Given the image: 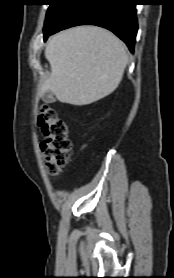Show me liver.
I'll return each mask as SVG.
<instances>
[{
  "mask_svg": "<svg viewBox=\"0 0 174 278\" xmlns=\"http://www.w3.org/2000/svg\"><path fill=\"white\" fill-rule=\"evenodd\" d=\"M51 75L39 88L61 103L88 105L111 94L128 63L125 46L113 33L78 26L50 38L45 48Z\"/></svg>",
  "mask_w": 174,
  "mask_h": 278,
  "instance_id": "6515ba94",
  "label": "liver"
}]
</instances>
